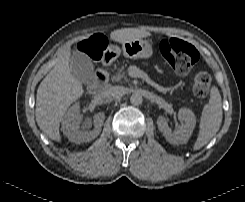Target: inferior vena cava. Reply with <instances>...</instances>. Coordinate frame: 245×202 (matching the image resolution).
Returning <instances> with one entry per match:
<instances>
[{"label":"inferior vena cava","instance_id":"obj_1","mask_svg":"<svg viewBox=\"0 0 245 202\" xmlns=\"http://www.w3.org/2000/svg\"><path fill=\"white\" fill-rule=\"evenodd\" d=\"M125 95V88L122 86H112L105 91V96L113 99H120Z\"/></svg>","mask_w":245,"mask_h":202}]
</instances>
